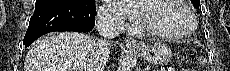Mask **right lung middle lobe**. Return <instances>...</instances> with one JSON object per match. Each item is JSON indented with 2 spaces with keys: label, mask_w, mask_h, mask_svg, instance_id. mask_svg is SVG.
Segmentation results:
<instances>
[{
  "label": "right lung middle lobe",
  "mask_w": 230,
  "mask_h": 71,
  "mask_svg": "<svg viewBox=\"0 0 230 71\" xmlns=\"http://www.w3.org/2000/svg\"><path fill=\"white\" fill-rule=\"evenodd\" d=\"M47 4L74 5L84 9H96L95 0H36L35 7Z\"/></svg>",
  "instance_id": "obj_1"
}]
</instances>
